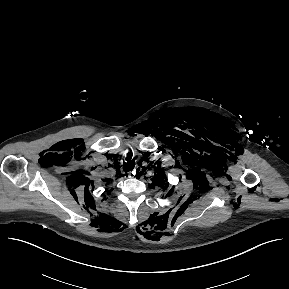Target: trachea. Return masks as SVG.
Segmentation results:
<instances>
[{
    "label": "trachea",
    "mask_w": 289,
    "mask_h": 289,
    "mask_svg": "<svg viewBox=\"0 0 289 289\" xmlns=\"http://www.w3.org/2000/svg\"><path fill=\"white\" fill-rule=\"evenodd\" d=\"M126 160H127L128 162L126 163V166L124 167V170H125L126 172L132 171V170L134 169L135 163H134V161H130V160H131V154H128V155H127ZM129 161H130V162H129Z\"/></svg>",
    "instance_id": "3493384b"
}]
</instances>
